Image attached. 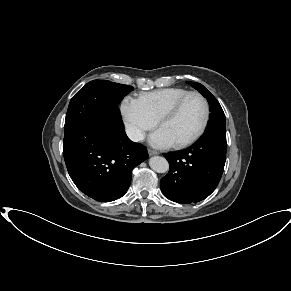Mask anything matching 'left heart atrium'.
I'll use <instances>...</instances> for the list:
<instances>
[{
	"label": "left heart atrium",
	"mask_w": 291,
	"mask_h": 291,
	"mask_svg": "<svg viewBox=\"0 0 291 291\" xmlns=\"http://www.w3.org/2000/svg\"><path fill=\"white\" fill-rule=\"evenodd\" d=\"M149 142L155 147H169L173 144L165 132L161 129H158L149 137Z\"/></svg>",
	"instance_id": "1"
}]
</instances>
